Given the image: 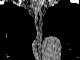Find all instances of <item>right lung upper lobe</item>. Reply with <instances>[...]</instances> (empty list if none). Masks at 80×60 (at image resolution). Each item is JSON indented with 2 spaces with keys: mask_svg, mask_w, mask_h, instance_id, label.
I'll list each match as a JSON object with an SVG mask.
<instances>
[{
  "mask_svg": "<svg viewBox=\"0 0 80 60\" xmlns=\"http://www.w3.org/2000/svg\"><path fill=\"white\" fill-rule=\"evenodd\" d=\"M36 37L33 19L23 8L11 3L0 6V46L12 56H30Z\"/></svg>",
  "mask_w": 80,
  "mask_h": 60,
  "instance_id": "right-lung-upper-lobe-1",
  "label": "right lung upper lobe"
}]
</instances>
